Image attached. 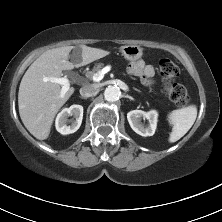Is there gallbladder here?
<instances>
[{
	"label": "gallbladder",
	"instance_id": "obj_1",
	"mask_svg": "<svg viewBox=\"0 0 222 222\" xmlns=\"http://www.w3.org/2000/svg\"><path fill=\"white\" fill-rule=\"evenodd\" d=\"M73 51L76 52V53H79V52L81 51V49H80V47H75ZM75 62H76V61H74V63H75Z\"/></svg>",
	"mask_w": 222,
	"mask_h": 222
}]
</instances>
